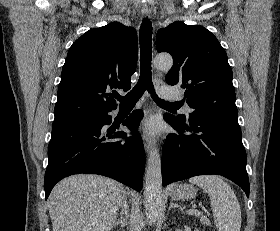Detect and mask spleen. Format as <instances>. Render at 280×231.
Instances as JSON below:
<instances>
[{
	"instance_id": "3e777b00",
	"label": "spleen",
	"mask_w": 280,
	"mask_h": 231,
	"mask_svg": "<svg viewBox=\"0 0 280 231\" xmlns=\"http://www.w3.org/2000/svg\"><path fill=\"white\" fill-rule=\"evenodd\" d=\"M189 181L207 191L218 231H240L242 217L239 201L220 175H195Z\"/></svg>"
}]
</instances>
